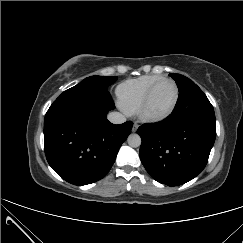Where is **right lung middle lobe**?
Wrapping results in <instances>:
<instances>
[{
	"mask_svg": "<svg viewBox=\"0 0 243 243\" xmlns=\"http://www.w3.org/2000/svg\"><path fill=\"white\" fill-rule=\"evenodd\" d=\"M117 80L116 76H90L85 78L81 83L99 88L102 90H108V86L113 84Z\"/></svg>",
	"mask_w": 243,
	"mask_h": 243,
	"instance_id": "1",
	"label": "right lung middle lobe"
}]
</instances>
